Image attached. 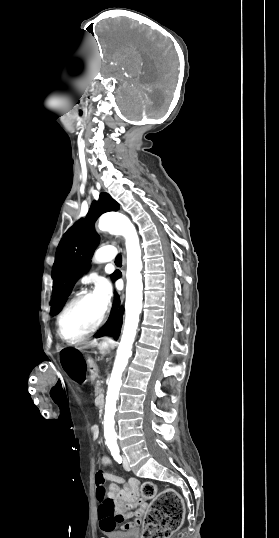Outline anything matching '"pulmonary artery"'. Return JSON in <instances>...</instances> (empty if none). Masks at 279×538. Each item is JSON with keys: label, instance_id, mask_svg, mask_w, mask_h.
I'll return each mask as SVG.
<instances>
[{"label": "pulmonary artery", "instance_id": "e3ab8cb5", "mask_svg": "<svg viewBox=\"0 0 279 538\" xmlns=\"http://www.w3.org/2000/svg\"><path fill=\"white\" fill-rule=\"evenodd\" d=\"M109 260H111L110 257H104V258L100 259V262H106V261H109Z\"/></svg>", "mask_w": 279, "mask_h": 538}]
</instances>
